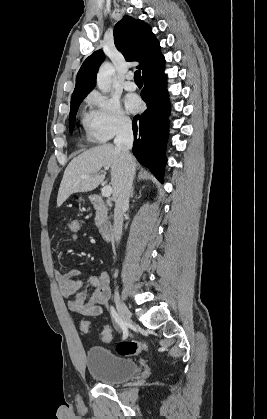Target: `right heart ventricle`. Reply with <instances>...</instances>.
<instances>
[{"label":"right heart ventricle","mask_w":267,"mask_h":419,"mask_svg":"<svg viewBox=\"0 0 267 419\" xmlns=\"http://www.w3.org/2000/svg\"><path fill=\"white\" fill-rule=\"evenodd\" d=\"M91 123H92L91 114H84L83 118H82V124H83L84 128L89 132H90V128H91Z\"/></svg>","instance_id":"1"}]
</instances>
